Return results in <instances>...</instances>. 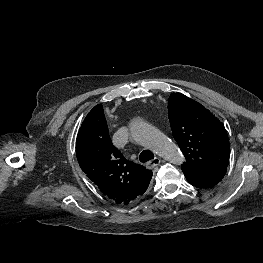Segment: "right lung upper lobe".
I'll use <instances>...</instances> for the list:
<instances>
[{
  "instance_id": "1",
  "label": "right lung upper lobe",
  "mask_w": 263,
  "mask_h": 263,
  "mask_svg": "<svg viewBox=\"0 0 263 263\" xmlns=\"http://www.w3.org/2000/svg\"><path fill=\"white\" fill-rule=\"evenodd\" d=\"M81 169L111 201L128 205L147 190L152 171L127 160L112 144L101 104L85 117L76 140Z\"/></svg>"
}]
</instances>
